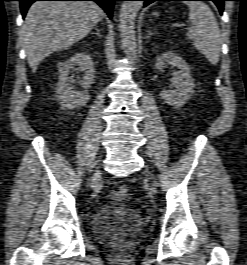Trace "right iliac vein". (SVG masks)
<instances>
[{"label":"right iliac vein","mask_w":247,"mask_h":265,"mask_svg":"<svg viewBox=\"0 0 247 265\" xmlns=\"http://www.w3.org/2000/svg\"><path fill=\"white\" fill-rule=\"evenodd\" d=\"M101 175V170L97 169L92 177V183H95Z\"/></svg>","instance_id":"right-iliac-vein-1"}]
</instances>
